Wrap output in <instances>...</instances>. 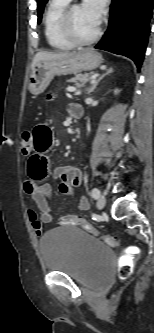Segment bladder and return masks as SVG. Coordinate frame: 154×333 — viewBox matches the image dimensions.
<instances>
[{
	"mask_svg": "<svg viewBox=\"0 0 154 333\" xmlns=\"http://www.w3.org/2000/svg\"><path fill=\"white\" fill-rule=\"evenodd\" d=\"M39 248L45 269L85 283L108 280L114 267L112 249L74 224L47 231Z\"/></svg>",
	"mask_w": 154,
	"mask_h": 333,
	"instance_id": "bladder-1",
	"label": "bladder"
}]
</instances>
